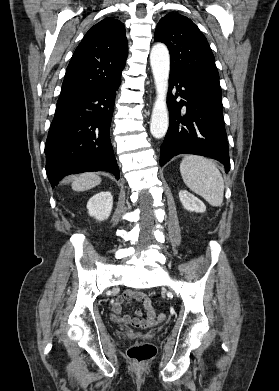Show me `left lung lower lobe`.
<instances>
[{
    "mask_svg": "<svg viewBox=\"0 0 279 391\" xmlns=\"http://www.w3.org/2000/svg\"><path fill=\"white\" fill-rule=\"evenodd\" d=\"M173 88L176 92L172 94ZM177 97H181L179 102ZM167 105L170 122L161 145L160 165L181 153L197 154L230 168L222 99L173 74L169 77Z\"/></svg>",
    "mask_w": 279,
    "mask_h": 391,
    "instance_id": "1",
    "label": "left lung lower lobe"
}]
</instances>
